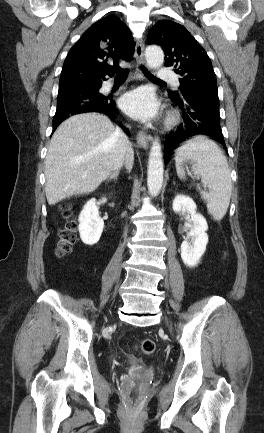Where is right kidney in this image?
Here are the masks:
<instances>
[{
  "instance_id": "right-kidney-1",
  "label": "right kidney",
  "mask_w": 264,
  "mask_h": 433,
  "mask_svg": "<svg viewBox=\"0 0 264 433\" xmlns=\"http://www.w3.org/2000/svg\"><path fill=\"white\" fill-rule=\"evenodd\" d=\"M104 221L99 216L96 199L89 200L79 215L78 230L82 242L86 245L96 244L103 232Z\"/></svg>"
}]
</instances>
